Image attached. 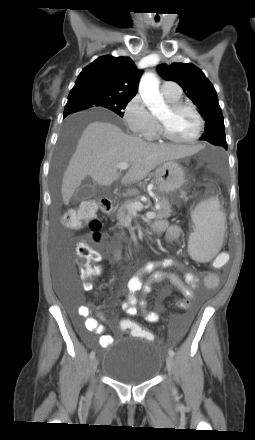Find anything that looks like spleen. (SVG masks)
<instances>
[{"mask_svg": "<svg viewBox=\"0 0 255 440\" xmlns=\"http://www.w3.org/2000/svg\"><path fill=\"white\" fill-rule=\"evenodd\" d=\"M194 232L188 241V253L198 262L210 261L220 250L224 239L225 216L215 198L199 203L192 212Z\"/></svg>", "mask_w": 255, "mask_h": 440, "instance_id": "spleen-1", "label": "spleen"}]
</instances>
